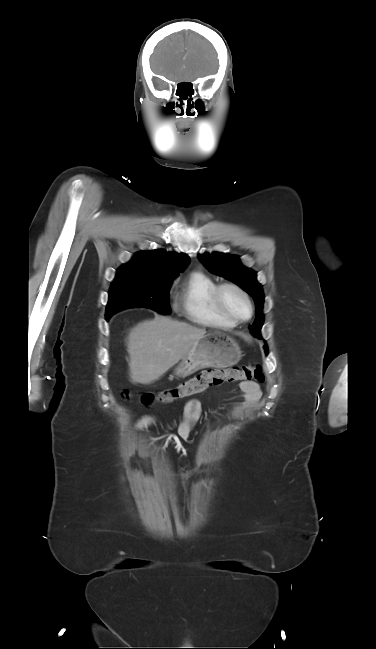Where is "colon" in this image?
Instances as JSON below:
<instances>
[{"instance_id":"colon-1","label":"colon","mask_w":376,"mask_h":649,"mask_svg":"<svg viewBox=\"0 0 376 649\" xmlns=\"http://www.w3.org/2000/svg\"><path fill=\"white\" fill-rule=\"evenodd\" d=\"M257 381L264 380V374L260 366L236 365L225 369H205L176 386L166 388L158 393H145L142 401L146 404L170 403L178 399L186 398L205 391L206 389L225 382L233 381ZM129 391L123 393L126 399L131 398Z\"/></svg>"}]
</instances>
